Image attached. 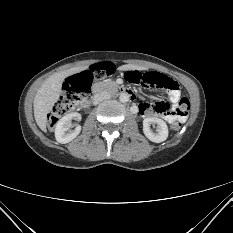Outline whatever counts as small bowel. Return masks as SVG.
Wrapping results in <instances>:
<instances>
[{
  "label": "small bowel",
  "instance_id": "small-bowel-1",
  "mask_svg": "<svg viewBox=\"0 0 233 233\" xmlns=\"http://www.w3.org/2000/svg\"><path fill=\"white\" fill-rule=\"evenodd\" d=\"M174 83L175 87L168 89V94L172 102V105L168 103H160L161 106L157 107L156 104L144 103L139 106V113L144 117L160 116L168 123H172L174 121H184L186 119V116L179 114L177 111L178 103L182 99L181 92L178 84L176 82Z\"/></svg>",
  "mask_w": 233,
  "mask_h": 233
}]
</instances>
